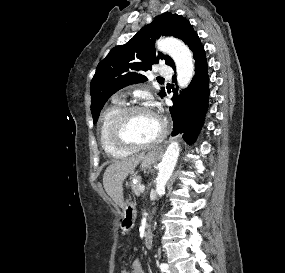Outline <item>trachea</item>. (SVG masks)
Returning <instances> with one entry per match:
<instances>
[{
    "label": "trachea",
    "mask_w": 285,
    "mask_h": 273,
    "mask_svg": "<svg viewBox=\"0 0 285 273\" xmlns=\"http://www.w3.org/2000/svg\"><path fill=\"white\" fill-rule=\"evenodd\" d=\"M159 80H160V81H163V79H162V78H160Z\"/></svg>",
    "instance_id": "trachea-1"
}]
</instances>
